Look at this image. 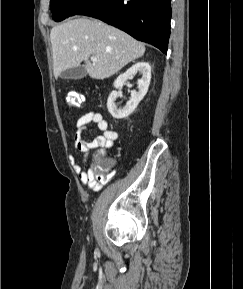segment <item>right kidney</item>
I'll return each instance as SVG.
<instances>
[{"instance_id": "ca27d5eb", "label": "right kidney", "mask_w": 243, "mask_h": 289, "mask_svg": "<svg viewBox=\"0 0 243 289\" xmlns=\"http://www.w3.org/2000/svg\"><path fill=\"white\" fill-rule=\"evenodd\" d=\"M137 72L142 74V78L138 80L137 87L138 92L133 91L131 93L130 100L123 108H117L115 100L119 93L115 90L112 91L108 97L107 108L110 114L116 119H122L128 117L138 106L140 101L144 98L148 91V87L151 80V67L149 63L140 61L130 67L125 73L119 75L114 82L116 89H121L125 81L133 77Z\"/></svg>"}]
</instances>
